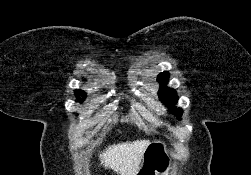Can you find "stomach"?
Returning a JSON list of instances; mask_svg holds the SVG:
<instances>
[{
    "label": "stomach",
    "instance_id": "stomach-1",
    "mask_svg": "<svg viewBox=\"0 0 251 175\" xmlns=\"http://www.w3.org/2000/svg\"><path fill=\"white\" fill-rule=\"evenodd\" d=\"M173 161L164 141H151L136 175H169Z\"/></svg>",
    "mask_w": 251,
    "mask_h": 175
}]
</instances>
